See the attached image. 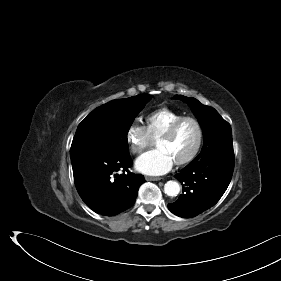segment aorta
<instances>
[{"label": "aorta", "instance_id": "1", "mask_svg": "<svg viewBox=\"0 0 281 281\" xmlns=\"http://www.w3.org/2000/svg\"><path fill=\"white\" fill-rule=\"evenodd\" d=\"M164 192L165 194H167L168 196H177L180 192V185L178 182L176 181H168L165 185H164Z\"/></svg>", "mask_w": 281, "mask_h": 281}]
</instances>
